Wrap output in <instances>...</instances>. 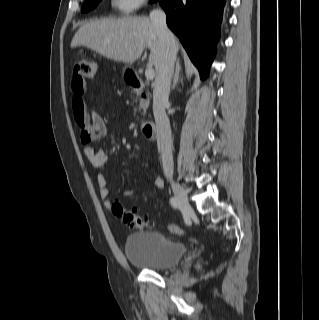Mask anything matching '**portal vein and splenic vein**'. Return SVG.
<instances>
[{
	"label": "portal vein and splenic vein",
	"instance_id": "18ae733b",
	"mask_svg": "<svg viewBox=\"0 0 319 320\" xmlns=\"http://www.w3.org/2000/svg\"><path fill=\"white\" fill-rule=\"evenodd\" d=\"M155 76L154 69L152 66H148L147 69L145 70V77L147 80H152Z\"/></svg>",
	"mask_w": 319,
	"mask_h": 320
}]
</instances>
